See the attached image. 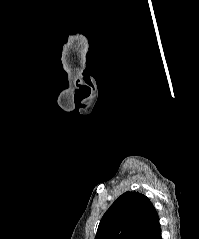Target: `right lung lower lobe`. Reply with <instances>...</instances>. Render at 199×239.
Wrapping results in <instances>:
<instances>
[{
	"label": "right lung lower lobe",
	"instance_id": "1",
	"mask_svg": "<svg viewBox=\"0 0 199 239\" xmlns=\"http://www.w3.org/2000/svg\"><path fill=\"white\" fill-rule=\"evenodd\" d=\"M142 239H162L159 222Z\"/></svg>",
	"mask_w": 199,
	"mask_h": 239
}]
</instances>
